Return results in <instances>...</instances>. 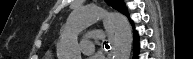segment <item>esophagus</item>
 Segmentation results:
<instances>
[{
    "label": "esophagus",
    "instance_id": "esophagus-1",
    "mask_svg": "<svg viewBox=\"0 0 193 59\" xmlns=\"http://www.w3.org/2000/svg\"><path fill=\"white\" fill-rule=\"evenodd\" d=\"M103 25H104L105 29L112 34V32H113L112 24L107 18L103 19Z\"/></svg>",
    "mask_w": 193,
    "mask_h": 59
}]
</instances>
